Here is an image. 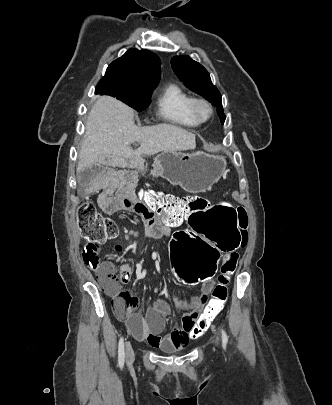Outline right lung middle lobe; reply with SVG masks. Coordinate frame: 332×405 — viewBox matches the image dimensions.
<instances>
[{
	"mask_svg": "<svg viewBox=\"0 0 332 405\" xmlns=\"http://www.w3.org/2000/svg\"><path fill=\"white\" fill-rule=\"evenodd\" d=\"M156 86V83H136L120 75H105L97 84L95 94L111 95L142 111L149 106Z\"/></svg>",
	"mask_w": 332,
	"mask_h": 405,
	"instance_id": "obj_1",
	"label": "right lung middle lobe"
}]
</instances>
